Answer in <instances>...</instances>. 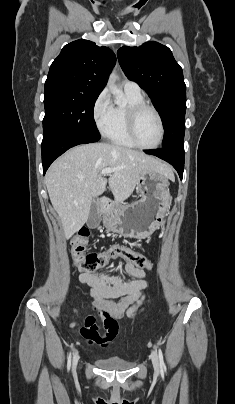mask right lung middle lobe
<instances>
[{
  "instance_id": "right-lung-middle-lobe-1",
  "label": "right lung middle lobe",
  "mask_w": 235,
  "mask_h": 404,
  "mask_svg": "<svg viewBox=\"0 0 235 404\" xmlns=\"http://www.w3.org/2000/svg\"><path fill=\"white\" fill-rule=\"evenodd\" d=\"M97 94H88L61 86L45 87L43 135L71 129L100 139L93 110Z\"/></svg>"
}]
</instances>
